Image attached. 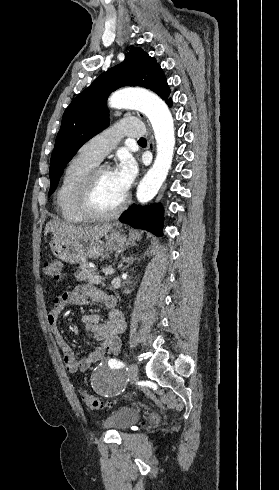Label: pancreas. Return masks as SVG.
I'll return each instance as SVG.
<instances>
[{
	"label": "pancreas",
	"instance_id": "obj_1",
	"mask_svg": "<svg viewBox=\"0 0 279 490\" xmlns=\"http://www.w3.org/2000/svg\"><path fill=\"white\" fill-rule=\"evenodd\" d=\"M74 276L77 278V282H89V284H96V286H99V284L105 286L104 282H106V278L99 276L98 272L91 270L86 264H82L80 270Z\"/></svg>",
	"mask_w": 279,
	"mask_h": 490
}]
</instances>
